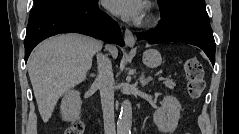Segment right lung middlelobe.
<instances>
[{"label":"right lung middle lobe","instance_id":"dd1d6c3e","mask_svg":"<svg viewBox=\"0 0 239 134\" xmlns=\"http://www.w3.org/2000/svg\"><path fill=\"white\" fill-rule=\"evenodd\" d=\"M43 0H34V5L39 4L40 2H42Z\"/></svg>","mask_w":239,"mask_h":134}]
</instances>
